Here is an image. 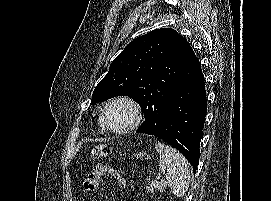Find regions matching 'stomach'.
<instances>
[{
    "label": "stomach",
    "mask_w": 271,
    "mask_h": 201,
    "mask_svg": "<svg viewBox=\"0 0 271 201\" xmlns=\"http://www.w3.org/2000/svg\"><path fill=\"white\" fill-rule=\"evenodd\" d=\"M134 156H135L136 158H144V157H145V154H144L143 152H137V153L134 154Z\"/></svg>",
    "instance_id": "0dacf381"
}]
</instances>
